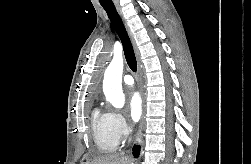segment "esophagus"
Instances as JSON below:
<instances>
[{
	"label": "esophagus",
	"instance_id": "1",
	"mask_svg": "<svg viewBox=\"0 0 251 164\" xmlns=\"http://www.w3.org/2000/svg\"><path fill=\"white\" fill-rule=\"evenodd\" d=\"M115 6H116L117 12L119 13L120 17L122 18V21L125 25L127 32H128V35L130 37V40L133 45V49H134V52H135V55L137 58V79H138V83H139V87H140V94H141V99H142V115H141L139 129H138V133H137V137H136V141L139 142L142 138V132H143L144 123H145V110H146L145 94H144L143 84H142V79H141V61H140L138 48H137L136 42L134 40L133 34L131 33L130 29L128 28L126 20L123 18L121 9H120L119 5L117 4V2H115Z\"/></svg>",
	"mask_w": 251,
	"mask_h": 164
}]
</instances>
